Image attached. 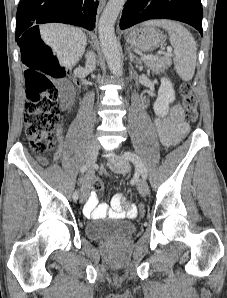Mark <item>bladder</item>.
I'll use <instances>...</instances> for the list:
<instances>
[{"mask_svg":"<svg viewBox=\"0 0 227 298\" xmlns=\"http://www.w3.org/2000/svg\"><path fill=\"white\" fill-rule=\"evenodd\" d=\"M136 225L128 220L100 219L85 226V235L91 240H112L132 235Z\"/></svg>","mask_w":227,"mask_h":298,"instance_id":"bladder-1","label":"bladder"}]
</instances>
